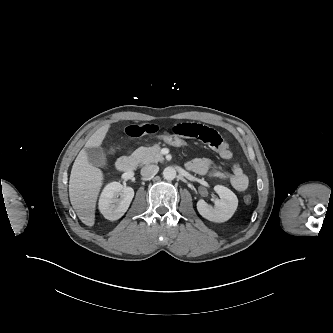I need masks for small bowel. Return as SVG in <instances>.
<instances>
[{"label":"small bowel","instance_id":"1","mask_svg":"<svg viewBox=\"0 0 333 333\" xmlns=\"http://www.w3.org/2000/svg\"><path fill=\"white\" fill-rule=\"evenodd\" d=\"M163 127L154 123L130 124L125 127V132L131 137H142L160 134ZM171 133L187 139H197L206 143L222 159L232 157L229 144L223 140L214 129L203 124L189 121H180L172 125ZM186 168L201 175L225 180L237 191H244L249 185V179L239 164H233L231 172L214 168L213 163L207 158H195L187 162Z\"/></svg>","mask_w":333,"mask_h":333}]
</instances>
